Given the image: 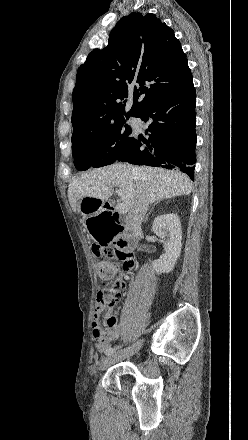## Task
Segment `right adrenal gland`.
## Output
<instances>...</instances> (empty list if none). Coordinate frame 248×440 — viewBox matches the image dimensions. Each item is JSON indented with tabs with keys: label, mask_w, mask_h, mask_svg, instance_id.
I'll return each instance as SVG.
<instances>
[{
	"label": "right adrenal gland",
	"mask_w": 248,
	"mask_h": 440,
	"mask_svg": "<svg viewBox=\"0 0 248 440\" xmlns=\"http://www.w3.org/2000/svg\"><path fill=\"white\" fill-rule=\"evenodd\" d=\"M159 201H157L155 204H154V206L158 203ZM154 206L152 207V209L150 210V212L146 215V217L144 218V222L146 223V221L148 220V217H149V215L151 214V212L153 211V209H154Z\"/></svg>",
	"instance_id": "right-adrenal-gland-1"
}]
</instances>
